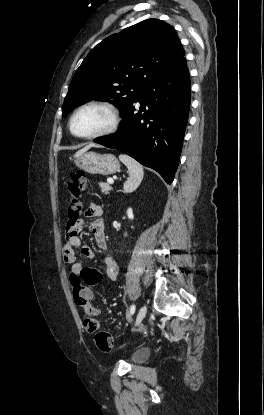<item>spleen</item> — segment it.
<instances>
[{
  "instance_id": "spleen-1",
  "label": "spleen",
  "mask_w": 264,
  "mask_h": 415,
  "mask_svg": "<svg viewBox=\"0 0 264 415\" xmlns=\"http://www.w3.org/2000/svg\"><path fill=\"white\" fill-rule=\"evenodd\" d=\"M119 159L127 166L129 172V178L125 181L123 186L124 192H133L138 188L143 179V167L128 155L121 154L119 155Z\"/></svg>"
}]
</instances>
